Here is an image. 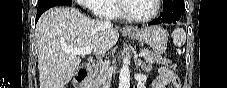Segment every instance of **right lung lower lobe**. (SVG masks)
Here are the masks:
<instances>
[{
    "label": "right lung lower lobe",
    "instance_id": "right-lung-lower-lobe-1",
    "mask_svg": "<svg viewBox=\"0 0 227 88\" xmlns=\"http://www.w3.org/2000/svg\"><path fill=\"white\" fill-rule=\"evenodd\" d=\"M49 8H50L49 6H45V7H42V8H37L36 22L40 18L41 14L43 12H45L47 9H49Z\"/></svg>",
    "mask_w": 227,
    "mask_h": 88
}]
</instances>
